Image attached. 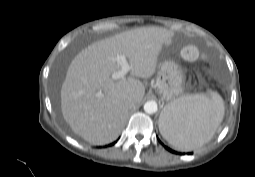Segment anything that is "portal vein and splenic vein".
<instances>
[{
	"label": "portal vein and splenic vein",
	"mask_w": 255,
	"mask_h": 177,
	"mask_svg": "<svg viewBox=\"0 0 255 177\" xmlns=\"http://www.w3.org/2000/svg\"><path fill=\"white\" fill-rule=\"evenodd\" d=\"M115 60L118 63V65H120L121 68L120 70L112 74V78L114 80L124 78L125 75L131 70L132 67L129 65L126 59V56L124 55H117ZM97 96H101V93H98Z\"/></svg>",
	"instance_id": "portal-vein-and-splenic-vein-1"
}]
</instances>
